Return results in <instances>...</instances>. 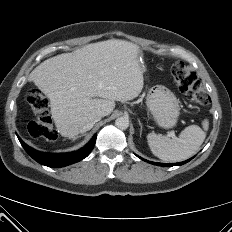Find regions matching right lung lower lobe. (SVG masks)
<instances>
[{"label": "right lung lower lobe", "instance_id": "1", "mask_svg": "<svg viewBox=\"0 0 232 232\" xmlns=\"http://www.w3.org/2000/svg\"><path fill=\"white\" fill-rule=\"evenodd\" d=\"M97 135L82 149L70 153H45L29 147L19 137V141L25 151L37 162L48 167H63L76 163L89 155L96 142Z\"/></svg>", "mask_w": 232, "mask_h": 232}]
</instances>
